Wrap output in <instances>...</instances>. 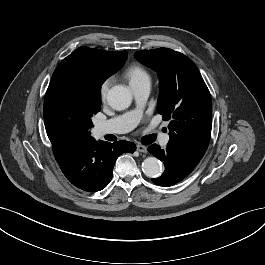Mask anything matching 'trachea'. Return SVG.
<instances>
[{
	"instance_id": "obj_1",
	"label": "trachea",
	"mask_w": 265,
	"mask_h": 265,
	"mask_svg": "<svg viewBox=\"0 0 265 265\" xmlns=\"http://www.w3.org/2000/svg\"><path fill=\"white\" fill-rule=\"evenodd\" d=\"M155 141V135H147L142 138V143L145 145L151 144Z\"/></svg>"
}]
</instances>
